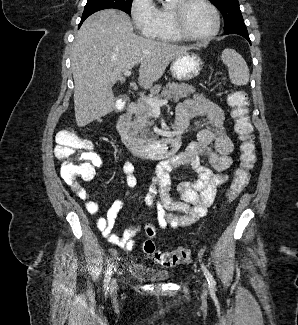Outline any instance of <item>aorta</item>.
Segmentation results:
<instances>
[{"label": "aorta", "instance_id": "762f6f07", "mask_svg": "<svg viewBox=\"0 0 298 325\" xmlns=\"http://www.w3.org/2000/svg\"><path fill=\"white\" fill-rule=\"evenodd\" d=\"M161 2H162V4H163V2H165V0H161Z\"/></svg>", "mask_w": 298, "mask_h": 325}]
</instances>
